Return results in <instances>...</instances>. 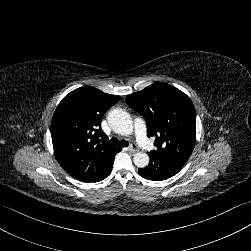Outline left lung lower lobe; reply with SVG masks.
Returning <instances> with one entry per match:
<instances>
[{"label":"left lung lower lobe","instance_id":"obj_1","mask_svg":"<svg viewBox=\"0 0 251 251\" xmlns=\"http://www.w3.org/2000/svg\"><path fill=\"white\" fill-rule=\"evenodd\" d=\"M150 162L145 168H139V174L148 180L162 181L176 175L185 163L166 158L156 152H148Z\"/></svg>","mask_w":251,"mask_h":251}]
</instances>
